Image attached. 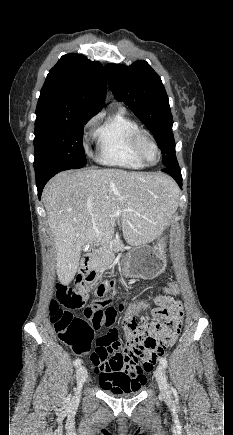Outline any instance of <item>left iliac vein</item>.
I'll list each match as a JSON object with an SVG mask.
<instances>
[{
    "mask_svg": "<svg viewBox=\"0 0 233 435\" xmlns=\"http://www.w3.org/2000/svg\"><path fill=\"white\" fill-rule=\"evenodd\" d=\"M156 380L160 389V393L163 396H167L169 393V386L166 379L165 369L163 365L159 364L155 371Z\"/></svg>",
    "mask_w": 233,
    "mask_h": 435,
    "instance_id": "left-iliac-vein-1",
    "label": "left iliac vein"
}]
</instances>
